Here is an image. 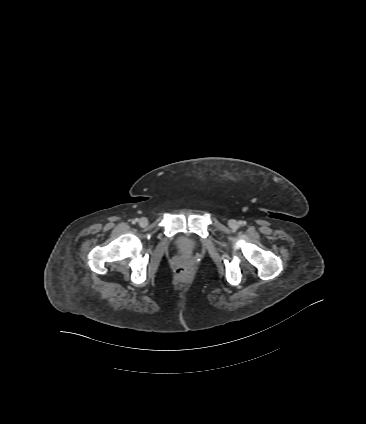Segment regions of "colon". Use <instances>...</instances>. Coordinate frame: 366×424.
<instances>
[{"label": "colon", "instance_id": "obj_1", "mask_svg": "<svg viewBox=\"0 0 366 424\" xmlns=\"http://www.w3.org/2000/svg\"><path fill=\"white\" fill-rule=\"evenodd\" d=\"M176 273H177L179 276L183 277V276H185V275H186L187 270H186L185 268H183V267H180V268H178V269L176 270Z\"/></svg>", "mask_w": 366, "mask_h": 424}]
</instances>
